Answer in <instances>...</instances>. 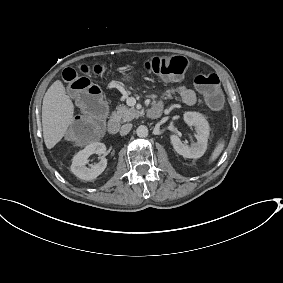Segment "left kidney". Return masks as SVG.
Here are the masks:
<instances>
[{
	"label": "left kidney",
	"instance_id": "left-kidney-1",
	"mask_svg": "<svg viewBox=\"0 0 283 283\" xmlns=\"http://www.w3.org/2000/svg\"><path fill=\"white\" fill-rule=\"evenodd\" d=\"M184 121L188 127L194 128L196 131L195 138L197 142L191 145H184L180 137L176 133H173L169 136L173 149L184 158H200L204 155L207 148V138L209 136L208 122L196 112L185 113Z\"/></svg>",
	"mask_w": 283,
	"mask_h": 283
}]
</instances>
